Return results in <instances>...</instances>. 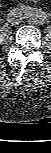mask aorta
Instances as JSON below:
<instances>
[{"instance_id":"762f6f07","label":"aorta","mask_w":51,"mask_h":153,"mask_svg":"<svg viewBox=\"0 0 51 153\" xmlns=\"http://www.w3.org/2000/svg\"><path fill=\"white\" fill-rule=\"evenodd\" d=\"M29 20L32 22H39L45 24L48 22L49 17L42 11L39 10H30L29 11Z\"/></svg>"}]
</instances>
